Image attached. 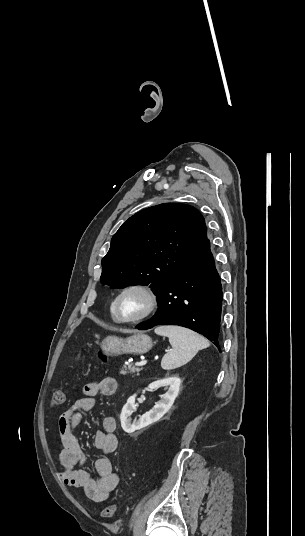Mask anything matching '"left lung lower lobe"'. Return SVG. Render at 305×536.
<instances>
[{
	"instance_id": "obj_1",
	"label": "left lung lower lobe",
	"mask_w": 305,
	"mask_h": 536,
	"mask_svg": "<svg viewBox=\"0 0 305 536\" xmlns=\"http://www.w3.org/2000/svg\"><path fill=\"white\" fill-rule=\"evenodd\" d=\"M222 286L208 242L199 254L157 296L158 311L137 326L179 325L207 337L220 350Z\"/></svg>"
}]
</instances>
